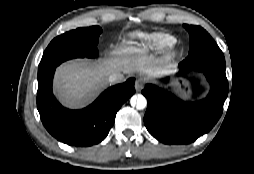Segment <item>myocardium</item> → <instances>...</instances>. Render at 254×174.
Segmentation results:
<instances>
[{
  "mask_svg": "<svg viewBox=\"0 0 254 174\" xmlns=\"http://www.w3.org/2000/svg\"><path fill=\"white\" fill-rule=\"evenodd\" d=\"M179 55H180L179 49L175 45H172L166 49L163 56V62L169 64L175 61L179 57Z\"/></svg>",
  "mask_w": 254,
  "mask_h": 174,
  "instance_id": "f54148a6",
  "label": "myocardium"
}]
</instances>
